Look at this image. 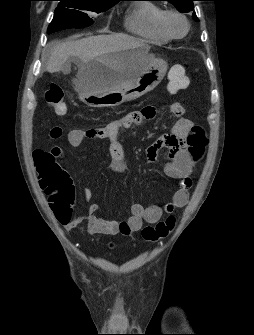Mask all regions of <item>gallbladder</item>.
<instances>
[{"mask_svg": "<svg viewBox=\"0 0 254 335\" xmlns=\"http://www.w3.org/2000/svg\"><path fill=\"white\" fill-rule=\"evenodd\" d=\"M62 71H64V72L67 71V68H66V67H63Z\"/></svg>", "mask_w": 254, "mask_h": 335, "instance_id": "bac80fb5", "label": "gallbladder"}]
</instances>
